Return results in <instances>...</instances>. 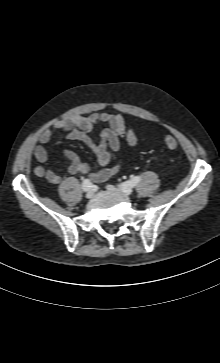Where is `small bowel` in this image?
Wrapping results in <instances>:
<instances>
[{
	"label": "small bowel",
	"mask_w": 220,
	"mask_h": 363,
	"mask_svg": "<svg viewBox=\"0 0 220 363\" xmlns=\"http://www.w3.org/2000/svg\"><path fill=\"white\" fill-rule=\"evenodd\" d=\"M100 123H105L108 127L101 131L99 140L96 142L91 133L94 127ZM59 130L65 131L68 139L81 141L93 150L98 163L102 166V169L97 172H93L89 164L82 162L73 150L64 149L62 154L70 161L68 168L70 174H86L95 183L108 180L120 169V161L112 166H107V164L110 160V152L119 151L122 139H125L130 146H135L139 142V138L119 114L94 112L87 116L75 115L57 121L41 133L38 138V145L34 149V157L39 163H45L48 159L47 150L43 145L49 143L52 136ZM34 173L52 184L61 182V177L58 174L43 166L35 167Z\"/></svg>",
	"instance_id": "1"
}]
</instances>
